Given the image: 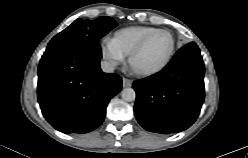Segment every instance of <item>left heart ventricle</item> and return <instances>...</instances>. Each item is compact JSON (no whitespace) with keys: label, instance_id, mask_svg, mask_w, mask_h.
<instances>
[{"label":"left heart ventricle","instance_id":"obj_1","mask_svg":"<svg viewBox=\"0 0 248 158\" xmlns=\"http://www.w3.org/2000/svg\"><path fill=\"white\" fill-rule=\"evenodd\" d=\"M171 39L165 33L154 34L143 50L136 56L133 66L136 69H151L161 64L169 53Z\"/></svg>","mask_w":248,"mask_h":158}]
</instances>
